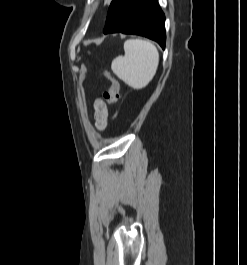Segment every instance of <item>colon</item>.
Returning a JSON list of instances; mask_svg holds the SVG:
<instances>
[{"label":"colon","mask_w":247,"mask_h":265,"mask_svg":"<svg viewBox=\"0 0 247 265\" xmlns=\"http://www.w3.org/2000/svg\"><path fill=\"white\" fill-rule=\"evenodd\" d=\"M103 74L110 81V86L103 93V98L108 104H114L119 98L120 84L109 72L104 71Z\"/></svg>","instance_id":"obj_1"}]
</instances>
